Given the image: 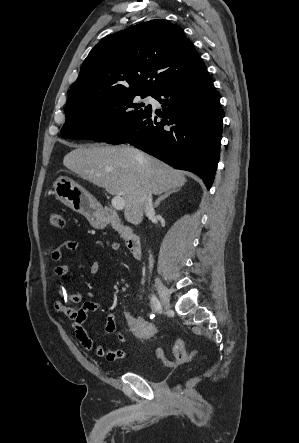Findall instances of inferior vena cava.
Segmentation results:
<instances>
[{
  "mask_svg": "<svg viewBox=\"0 0 299 443\" xmlns=\"http://www.w3.org/2000/svg\"><path fill=\"white\" fill-rule=\"evenodd\" d=\"M144 208H145V214L149 215L154 211L153 208V202H152V191L148 188L146 193L142 197Z\"/></svg>",
  "mask_w": 299,
  "mask_h": 443,
  "instance_id": "1",
  "label": "inferior vena cava"
}]
</instances>
